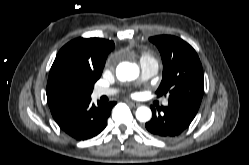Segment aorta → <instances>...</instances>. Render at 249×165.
Wrapping results in <instances>:
<instances>
[{
	"instance_id": "obj_1",
	"label": "aorta",
	"mask_w": 249,
	"mask_h": 165,
	"mask_svg": "<svg viewBox=\"0 0 249 165\" xmlns=\"http://www.w3.org/2000/svg\"><path fill=\"white\" fill-rule=\"evenodd\" d=\"M117 78L120 81H131L138 77L139 68L134 63L123 62L116 69ZM136 118L140 122H147L151 119L152 113L148 107L141 106L136 110Z\"/></svg>"
}]
</instances>
